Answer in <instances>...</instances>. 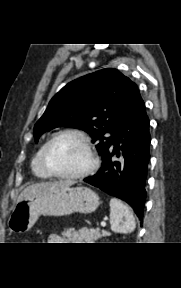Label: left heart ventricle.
Wrapping results in <instances>:
<instances>
[{
	"label": "left heart ventricle",
	"mask_w": 181,
	"mask_h": 288,
	"mask_svg": "<svg viewBox=\"0 0 181 288\" xmlns=\"http://www.w3.org/2000/svg\"><path fill=\"white\" fill-rule=\"evenodd\" d=\"M48 160L60 173L73 174L84 169L89 162L87 150L75 136H63L50 147Z\"/></svg>",
	"instance_id": "obj_1"
}]
</instances>
